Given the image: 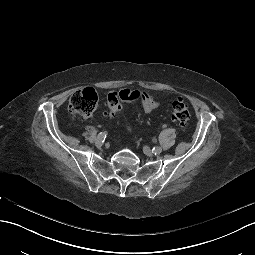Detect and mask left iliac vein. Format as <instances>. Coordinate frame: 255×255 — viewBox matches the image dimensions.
Here are the masks:
<instances>
[{
    "instance_id": "1",
    "label": "left iliac vein",
    "mask_w": 255,
    "mask_h": 255,
    "mask_svg": "<svg viewBox=\"0 0 255 255\" xmlns=\"http://www.w3.org/2000/svg\"><path fill=\"white\" fill-rule=\"evenodd\" d=\"M143 151H144V153H145L147 156H153V155H154L153 151H152L149 147H147V146H145V147L143 148Z\"/></svg>"
}]
</instances>
